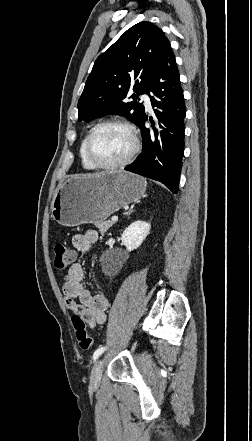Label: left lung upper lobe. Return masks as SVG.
I'll return each instance as SVG.
<instances>
[{"label": "left lung upper lobe", "mask_w": 252, "mask_h": 441, "mask_svg": "<svg viewBox=\"0 0 252 441\" xmlns=\"http://www.w3.org/2000/svg\"><path fill=\"white\" fill-rule=\"evenodd\" d=\"M163 31L150 22L129 28L101 54L78 101L80 121L119 114L140 125L145 109L137 97L147 92L157 59L167 42ZM133 102L125 103L129 91Z\"/></svg>", "instance_id": "obj_1"}]
</instances>
